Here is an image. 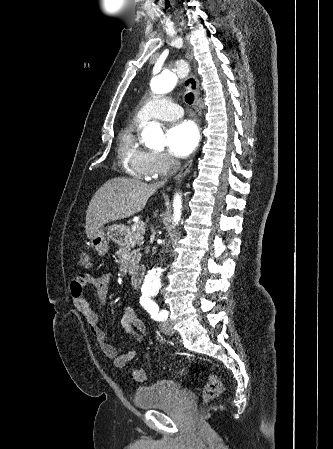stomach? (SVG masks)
<instances>
[{
	"mask_svg": "<svg viewBox=\"0 0 333 449\" xmlns=\"http://www.w3.org/2000/svg\"><path fill=\"white\" fill-rule=\"evenodd\" d=\"M91 246L99 255H105L108 251V241L103 229L99 231L90 238Z\"/></svg>",
	"mask_w": 333,
	"mask_h": 449,
	"instance_id": "0dacf381",
	"label": "stomach"
}]
</instances>
